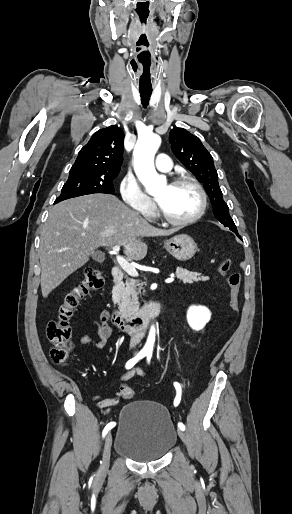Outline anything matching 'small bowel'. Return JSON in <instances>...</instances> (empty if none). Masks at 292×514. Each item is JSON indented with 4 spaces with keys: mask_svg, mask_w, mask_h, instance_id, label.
Returning <instances> with one entry per match:
<instances>
[{
    "mask_svg": "<svg viewBox=\"0 0 292 514\" xmlns=\"http://www.w3.org/2000/svg\"><path fill=\"white\" fill-rule=\"evenodd\" d=\"M109 311L108 310H102L100 313L99 322L95 320H89L90 324L96 329L98 337L94 338L91 335L88 334H82L79 335L77 338V341L81 345H91L96 348H104L107 344V341L112 337L113 335V327L109 323ZM135 374L144 375L145 372L142 369H135L130 370L128 372H125L121 375V379L123 381H127L131 379ZM113 396L120 397L121 393L116 392L113 393ZM91 401L95 400L94 396L90 397ZM97 404L99 406H118L120 404V401L118 399H112V397H106V400L103 399L101 395H98L96 397Z\"/></svg>",
    "mask_w": 292,
    "mask_h": 514,
    "instance_id": "1",
    "label": "small bowel"
}]
</instances>
